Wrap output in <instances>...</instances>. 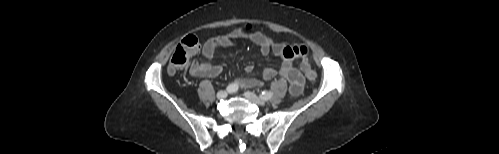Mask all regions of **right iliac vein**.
<instances>
[{
	"instance_id": "right-iliac-vein-1",
	"label": "right iliac vein",
	"mask_w": 499,
	"mask_h": 154,
	"mask_svg": "<svg viewBox=\"0 0 499 154\" xmlns=\"http://www.w3.org/2000/svg\"><path fill=\"white\" fill-rule=\"evenodd\" d=\"M228 96V92L227 91H224V90H221L217 93L216 97L218 99H225L226 97Z\"/></svg>"
}]
</instances>
